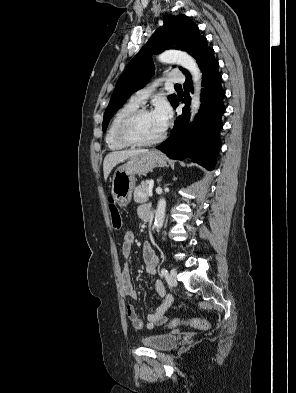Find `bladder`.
<instances>
[{"mask_svg": "<svg viewBox=\"0 0 296 393\" xmlns=\"http://www.w3.org/2000/svg\"><path fill=\"white\" fill-rule=\"evenodd\" d=\"M141 343L157 351H169L178 343V337L175 334L150 335L141 339Z\"/></svg>", "mask_w": 296, "mask_h": 393, "instance_id": "31cf9c89", "label": "bladder"}]
</instances>
